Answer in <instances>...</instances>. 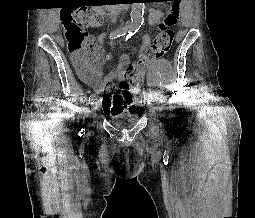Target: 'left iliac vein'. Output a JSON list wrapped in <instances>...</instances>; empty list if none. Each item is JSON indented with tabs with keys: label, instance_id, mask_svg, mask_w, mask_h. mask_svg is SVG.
<instances>
[{
	"label": "left iliac vein",
	"instance_id": "obj_1",
	"mask_svg": "<svg viewBox=\"0 0 255 218\" xmlns=\"http://www.w3.org/2000/svg\"><path fill=\"white\" fill-rule=\"evenodd\" d=\"M147 106H148V109L151 113H154L155 112V108L153 106V104L151 102H148L147 103Z\"/></svg>",
	"mask_w": 255,
	"mask_h": 218
}]
</instances>
